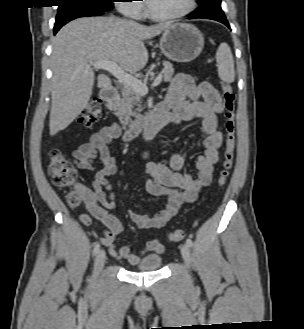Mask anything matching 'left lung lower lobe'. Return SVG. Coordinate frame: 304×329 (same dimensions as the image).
Listing matches in <instances>:
<instances>
[{"instance_id": "left-lung-lower-lobe-1", "label": "left lung lower lobe", "mask_w": 304, "mask_h": 329, "mask_svg": "<svg viewBox=\"0 0 304 329\" xmlns=\"http://www.w3.org/2000/svg\"><path fill=\"white\" fill-rule=\"evenodd\" d=\"M220 4L221 0H201L199 8L193 11L188 19L205 18L216 20L230 28Z\"/></svg>"}]
</instances>
